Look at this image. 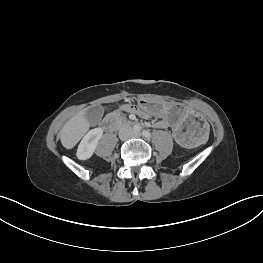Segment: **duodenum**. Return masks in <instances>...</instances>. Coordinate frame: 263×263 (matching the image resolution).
Here are the masks:
<instances>
[{
    "label": "duodenum",
    "instance_id": "obj_1",
    "mask_svg": "<svg viewBox=\"0 0 263 263\" xmlns=\"http://www.w3.org/2000/svg\"><path fill=\"white\" fill-rule=\"evenodd\" d=\"M130 124H131V122L121 121L116 116H109L104 121L105 127L110 129V130L115 129L117 127H121V126H127Z\"/></svg>",
    "mask_w": 263,
    "mask_h": 263
}]
</instances>
